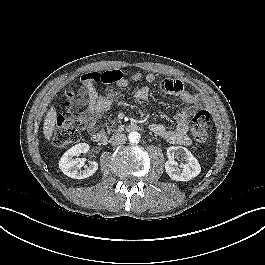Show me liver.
Returning a JSON list of instances; mask_svg holds the SVG:
<instances>
[{
  "instance_id": "obj_1",
  "label": "liver",
  "mask_w": 265,
  "mask_h": 265,
  "mask_svg": "<svg viewBox=\"0 0 265 265\" xmlns=\"http://www.w3.org/2000/svg\"><path fill=\"white\" fill-rule=\"evenodd\" d=\"M57 119V113L54 107H51L48 111L43 125V134L45 139L50 140L52 137L53 131L55 129V123Z\"/></svg>"
}]
</instances>
